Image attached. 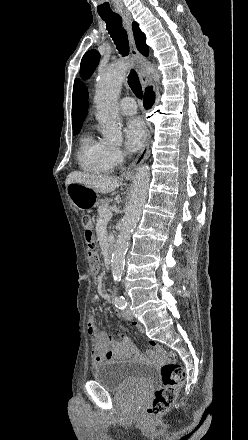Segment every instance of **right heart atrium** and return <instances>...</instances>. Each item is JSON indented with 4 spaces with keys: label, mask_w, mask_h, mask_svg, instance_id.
I'll return each instance as SVG.
<instances>
[{
    "label": "right heart atrium",
    "mask_w": 248,
    "mask_h": 440,
    "mask_svg": "<svg viewBox=\"0 0 248 440\" xmlns=\"http://www.w3.org/2000/svg\"><path fill=\"white\" fill-rule=\"evenodd\" d=\"M123 151L118 147L108 146L107 159L112 167L119 165L123 161Z\"/></svg>",
    "instance_id": "right-heart-atrium-1"
}]
</instances>
